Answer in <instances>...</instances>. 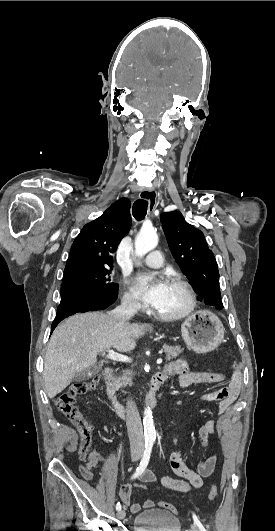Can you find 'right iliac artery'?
I'll use <instances>...</instances> for the list:
<instances>
[{
	"instance_id": "82829eb1",
	"label": "right iliac artery",
	"mask_w": 275,
	"mask_h": 531,
	"mask_svg": "<svg viewBox=\"0 0 275 531\" xmlns=\"http://www.w3.org/2000/svg\"><path fill=\"white\" fill-rule=\"evenodd\" d=\"M152 447H153V440L145 441V451H144L143 457H142V459L140 461L139 466L136 469V472L133 474L132 479H135L136 477L141 475L143 473V471L146 469V467L148 465V462H149V459H150ZM116 510L117 511L121 510L120 502L117 503Z\"/></svg>"
}]
</instances>
